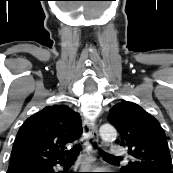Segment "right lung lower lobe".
<instances>
[{
  "label": "right lung lower lobe",
  "instance_id": "98d812e1",
  "mask_svg": "<svg viewBox=\"0 0 173 173\" xmlns=\"http://www.w3.org/2000/svg\"><path fill=\"white\" fill-rule=\"evenodd\" d=\"M62 162L63 160L49 164L24 166V167L10 169L7 171V173H55L53 170V166H55L58 163L62 165Z\"/></svg>",
  "mask_w": 173,
  "mask_h": 173
}]
</instances>
